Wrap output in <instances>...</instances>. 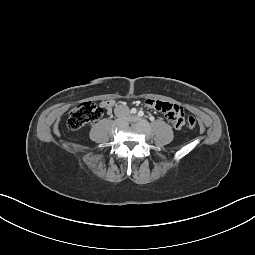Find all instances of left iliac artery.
<instances>
[{"mask_svg": "<svg viewBox=\"0 0 255 255\" xmlns=\"http://www.w3.org/2000/svg\"><path fill=\"white\" fill-rule=\"evenodd\" d=\"M143 115H144V112H143L142 110H140V111L138 112V116L142 117Z\"/></svg>", "mask_w": 255, "mask_h": 255, "instance_id": "left-iliac-artery-1", "label": "left iliac artery"}]
</instances>
